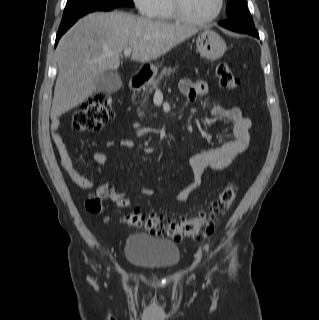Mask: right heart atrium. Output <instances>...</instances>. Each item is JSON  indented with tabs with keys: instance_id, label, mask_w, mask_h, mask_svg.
Here are the masks:
<instances>
[{
	"instance_id": "1",
	"label": "right heart atrium",
	"mask_w": 319,
	"mask_h": 320,
	"mask_svg": "<svg viewBox=\"0 0 319 320\" xmlns=\"http://www.w3.org/2000/svg\"><path fill=\"white\" fill-rule=\"evenodd\" d=\"M164 0H133L138 11L146 17L157 18L160 16Z\"/></svg>"
}]
</instances>
